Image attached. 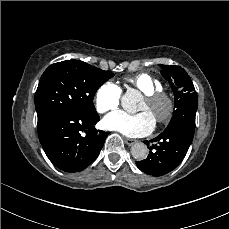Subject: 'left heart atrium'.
Instances as JSON below:
<instances>
[{
	"label": "left heart atrium",
	"instance_id": "39dd6f15",
	"mask_svg": "<svg viewBox=\"0 0 229 229\" xmlns=\"http://www.w3.org/2000/svg\"><path fill=\"white\" fill-rule=\"evenodd\" d=\"M102 124L108 130L117 131L130 137H142L154 129L155 121L154 117L146 111L138 114L116 111L107 115Z\"/></svg>",
	"mask_w": 229,
	"mask_h": 229
}]
</instances>
